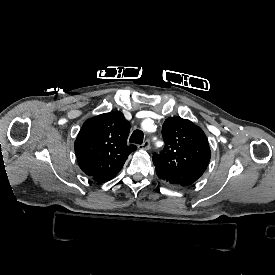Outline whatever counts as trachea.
<instances>
[{
  "label": "trachea",
  "instance_id": "3493384b",
  "mask_svg": "<svg viewBox=\"0 0 275 275\" xmlns=\"http://www.w3.org/2000/svg\"><path fill=\"white\" fill-rule=\"evenodd\" d=\"M130 142L141 145L143 143V132L141 130H135L130 136Z\"/></svg>",
  "mask_w": 275,
  "mask_h": 275
}]
</instances>
